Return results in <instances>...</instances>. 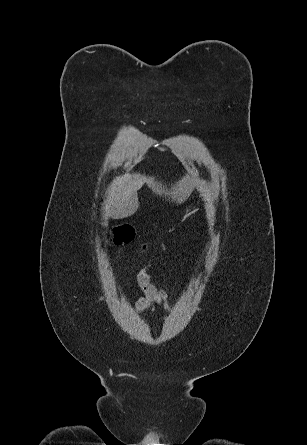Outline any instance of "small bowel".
Here are the masks:
<instances>
[{"label":"small bowel","instance_id":"small-bowel-1","mask_svg":"<svg viewBox=\"0 0 307 445\" xmlns=\"http://www.w3.org/2000/svg\"><path fill=\"white\" fill-rule=\"evenodd\" d=\"M150 268L151 264H148L135 275L137 284L144 292V296L135 303V310L137 312H143L159 303H163L165 309L169 310L170 302L168 295L166 292L156 287L153 279L148 273Z\"/></svg>","mask_w":307,"mask_h":445}]
</instances>
